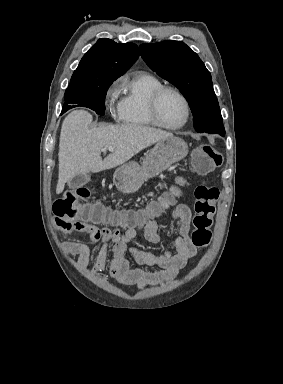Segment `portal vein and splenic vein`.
Segmentation results:
<instances>
[{
  "mask_svg": "<svg viewBox=\"0 0 283 384\" xmlns=\"http://www.w3.org/2000/svg\"><path fill=\"white\" fill-rule=\"evenodd\" d=\"M106 150H109V152H114V148H112V146H105L103 152H106Z\"/></svg>",
  "mask_w": 283,
  "mask_h": 384,
  "instance_id": "portal-vein-and-splenic-vein-1",
  "label": "portal vein and splenic vein"
}]
</instances>
